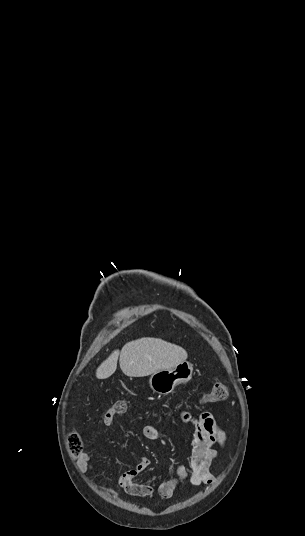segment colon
<instances>
[{"mask_svg":"<svg viewBox=\"0 0 305 536\" xmlns=\"http://www.w3.org/2000/svg\"><path fill=\"white\" fill-rule=\"evenodd\" d=\"M227 392V387L223 382H216L212 389L204 394L203 402L206 405L220 403L227 398ZM128 406V401L118 400L109 406L112 408V413L107 415L120 416L127 411ZM65 444L68 446L70 454H79L83 444V437L82 435H66Z\"/></svg>","mask_w":305,"mask_h":536,"instance_id":"5ec220e1","label":"colon"}]
</instances>
